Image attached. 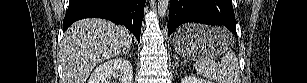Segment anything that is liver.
<instances>
[{"label":"liver","instance_id":"obj_1","mask_svg":"<svg viewBox=\"0 0 307 83\" xmlns=\"http://www.w3.org/2000/svg\"><path fill=\"white\" fill-rule=\"evenodd\" d=\"M132 45L123 26L103 19H84L71 25L61 42L63 83H85L92 69Z\"/></svg>","mask_w":307,"mask_h":83}]
</instances>
